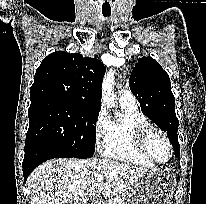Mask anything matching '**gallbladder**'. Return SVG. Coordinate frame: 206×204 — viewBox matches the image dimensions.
I'll return each mask as SVG.
<instances>
[{
    "mask_svg": "<svg viewBox=\"0 0 206 204\" xmlns=\"http://www.w3.org/2000/svg\"><path fill=\"white\" fill-rule=\"evenodd\" d=\"M67 204H77V203H73V200L68 201Z\"/></svg>",
    "mask_w": 206,
    "mask_h": 204,
    "instance_id": "gallbladder-1",
    "label": "gallbladder"
}]
</instances>
